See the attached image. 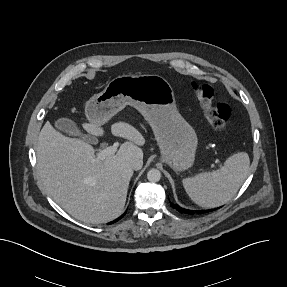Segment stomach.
Wrapping results in <instances>:
<instances>
[{
    "mask_svg": "<svg viewBox=\"0 0 287 287\" xmlns=\"http://www.w3.org/2000/svg\"><path fill=\"white\" fill-rule=\"evenodd\" d=\"M126 105L136 108L150 124L162 161L176 172L193 165L197 135L178 112L165 78L156 74L118 76L87 102L85 113L90 123L103 124Z\"/></svg>",
    "mask_w": 287,
    "mask_h": 287,
    "instance_id": "0dacf381",
    "label": "stomach"
}]
</instances>
